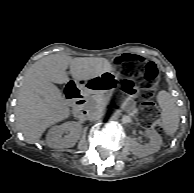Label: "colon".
<instances>
[{"mask_svg": "<svg viewBox=\"0 0 194 193\" xmlns=\"http://www.w3.org/2000/svg\"><path fill=\"white\" fill-rule=\"evenodd\" d=\"M118 62L125 74H138L143 76L146 87L151 90L158 80V69L156 65L138 56H122ZM143 115L142 121L145 124H155L159 120L158 110L155 108L152 94L147 92L142 100Z\"/></svg>", "mask_w": 194, "mask_h": 193, "instance_id": "1", "label": "colon"}]
</instances>
